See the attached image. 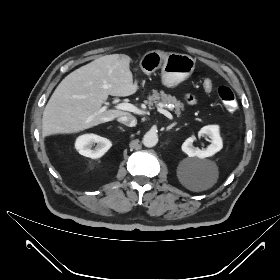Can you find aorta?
Returning a JSON list of instances; mask_svg holds the SVG:
<instances>
[{
  "mask_svg": "<svg viewBox=\"0 0 280 280\" xmlns=\"http://www.w3.org/2000/svg\"><path fill=\"white\" fill-rule=\"evenodd\" d=\"M142 143L145 147H154L158 143V135L155 132H147L142 139Z\"/></svg>",
  "mask_w": 280,
  "mask_h": 280,
  "instance_id": "762f6f07",
  "label": "aorta"
}]
</instances>
